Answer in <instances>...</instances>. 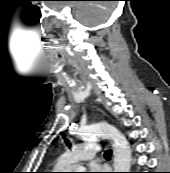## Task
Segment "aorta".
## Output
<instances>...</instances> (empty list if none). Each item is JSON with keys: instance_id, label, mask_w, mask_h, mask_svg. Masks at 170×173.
<instances>
[{"instance_id": "aorta-1", "label": "aorta", "mask_w": 170, "mask_h": 173, "mask_svg": "<svg viewBox=\"0 0 170 173\" xmlns=\"http://www.w3.org/2000/svg\"><path fill=\"white\" fill-rule=\"evenodd\" d=\"M80 136L84 140L108 138L113 141L114 172H129L132 152L126 137L114 126L99 123L81 130ZM77 172H84V167L78 166Z\"/></svg>"}]
</instances>
